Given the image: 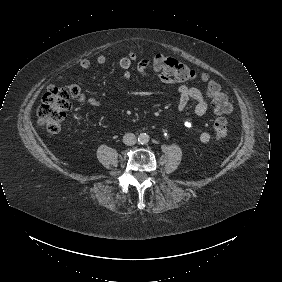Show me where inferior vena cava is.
Returning <instances> with one entry per match:
<instances>
[{
    "label": "inferior vena cava",
    "instance_id": "1",
    "mask_svg": "<svg viewBox=\"0 0 282 282\" xmlns=\"http://www.w3.org/2000/svg\"><path fill=\"white\" fill-rule=\"evenodd\" d=\"M137 142L136 136L133 133H126L123 136V143L128 146L135 145Z\"/></svg>",
    "mask_w": 282,
    "mask_h": 282
}]
</instances>
